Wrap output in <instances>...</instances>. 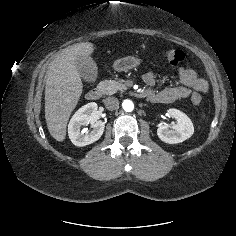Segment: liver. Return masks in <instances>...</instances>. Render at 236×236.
<instances>
[{
  "label": "liver",
  "mask_w": 236,
  "mask_h": 236,
  "mask_svg": "<svg viewBox=\"0 0 236 236\" xmlns=\"http://www.w3.org/2000/svg\"><path fill=\"white\" fill-rule=\"evenodd\" d=\"M93 52L92 43H77L62 50L49 65L45 87V119L50 135L59 142L65 140L69 117L83 91L76 59L81 55L90 56Z\"/></svg>",
  "instance_id": "6515ba94"
}]
</instances>
